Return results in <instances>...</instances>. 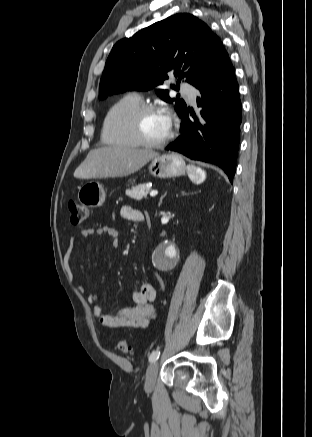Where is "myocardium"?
I'll list each match as a JSON object with an SVG mask.
<instances>
[{
    "label": "myocardium",
    "mask_w": 312,
    "mask_h": 437,
    "mask_svg": "<svg viewBox=\"0 0 312 437\" xmlns=\"http://www.w3.org/2000/svg\"><path fill=\"white\" fill-rule=\"evenodd\" d=\"M154 112H163V109L155 104H141L133 111L131 115V130L135 139L140 145L147 147H161L168 144L174 136V132L171 128L168 135L159 141L150 140L144 135L142 129L143 118L146 115Z\"/></svg>",
    "instance_id": "myocardium-1"
}]
</instances>
